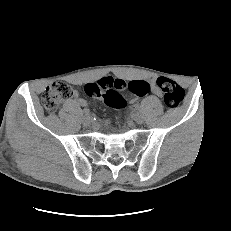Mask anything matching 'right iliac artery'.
Listing matches in <instances>:
<instances>
[{
	"mask_svg": "<svg viewBox=\"0 0 231 231\" xmlns=\"http://www.w3.org/2000/svg\"><path fill=\"white\" fill-rule=\"evenodd\" d=\"M83 112H84L85 115H89L90 114V110L89 109H84Z\"/></svg>",
	"mask_w": 231,
	"mask_h": 231,
	"instance_id": "obj_1",
	"label": "right iliac artery"
}]
</instances>
